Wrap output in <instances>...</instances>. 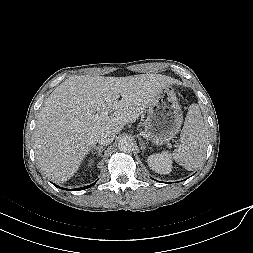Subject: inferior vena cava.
<instances>
[{
  "label": "inferior vena cava",
  "mask_w": 253,
  "mask_h": 253,
  "mask_svg": "<svg viewBox=\"0 0 253 253\" xmlns=\"http://www.w3.org/2000/svg\"><path fill=\"white\" fill-rule=\"evenodd\" d=\"M115 138V133L109 129H102L99 131L97 136V143L100 145H109L113 142Z\"/></svg>",
  "instance_id": "inferior-vena-cava-1"
}]
</instances>
